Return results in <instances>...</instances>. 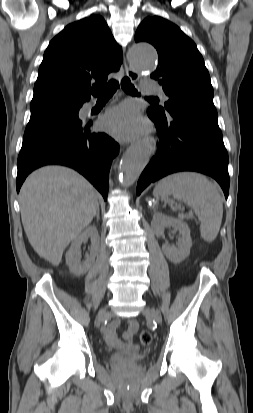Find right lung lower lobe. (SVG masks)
Listing matches in <instances>:
<instances>
[{
  "label": "right lung lower lobe",
  "instance_id": "1",
  "mask_svg": "<svg viewBox=\"0 0 253 413\" xmlns=\"http://www.w3.org/2000/svg\"><path fill=\"white\" fill-rule=\"evenodd\" d=\"M92 123L23 141L18 156L17 192L29 173L48 164L71 167L85 176L107 199L108 175L119 145L105 133L91 131Z\"/></svg>",
  "mask_w": 253,
  "mask_h": 413
}]
</instances>
